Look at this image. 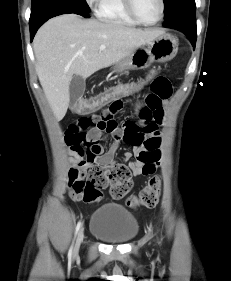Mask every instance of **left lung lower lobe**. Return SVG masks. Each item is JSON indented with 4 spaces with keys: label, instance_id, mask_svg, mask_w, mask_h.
Instances as JSON below:
<instances>
[{
    "label": "left lung lower lobe",
    "instance_id": "obj_1",
    "mask_svg": "<svg viewBox=\"0 0 231 281\" xmlns=\"http://www.w3.org/2000/svg\"><path fill=\"white\" fill-rule=\"evenodd\" d=\"M163 25L185 33L190 38L193 47H195L197 39L195 10L179 12L166 20Z\"/></svg>",
    "mask_w": 231,
    "mask_h": 281
}]
</instances>
